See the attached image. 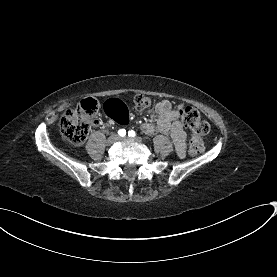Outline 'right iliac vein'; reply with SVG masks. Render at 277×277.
<instances>
[{
  "label": "right iliac vein",
  "mask_w": 277,
  "mask_h": 277,
  "mask_svg": "<svg viewBox=\"0 0 277 277\" xmlns=\"http://www.w3.org/2000/svg\"><path fill=\"white\" fill-rule=\"evenodd\" d=\"M119 140V137L116 134H112L108 139H107V144L111 145L114 144Z\"/></svg>",
  "instance_id": "right-iliac-vein-1"
}]
</instances>
